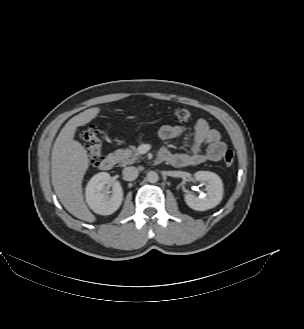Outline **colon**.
Returning a JSON list of instances; mask_svg holds the SVG:
<instances>
[{"label": "colon", "mask_w": 304, "mask_h": 329, "mask_svg": "<svg viewBox=\"0 0 304 329\" xmlns=\"http://www.w3.org/2000/svg\"><path fill=\"white\" fill-rule=\"evenodd\" d=\"M175 118L180 122H187L191 119V112L187 108H177L174 111ZM81 137L86 143L89 162L92 165L98 164L102 158V143L99 138V130L96 126H88L82 131ZM223 161L227 166H231L235 161L234 152L226 149L223 155Z\"/></svg>", "instance_id": "colon-1"}]
</instances>
